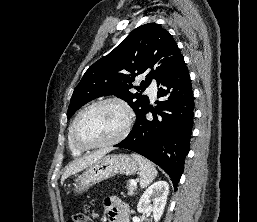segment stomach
I'll list each match as a JSON object with an SVG mask.
<instances>
[{
	"label": "stomach",
	"instance_id": "0dacf381",
	"mask_svg": "<svg viewBox=\"0 0 257 222\" xmlns=\"http://www.w3.org/2000/svg\"><path fill=\"white\" fill-rule=\"evenodd\" d=\"M138 169L137 161L127 154L103 156L78 176L73 184L74 192L82 193L94 184L117 174L133 175Z\"/></svg>",
	"mask_w": 257,
	"mask_h": 222
}]
</instances>
